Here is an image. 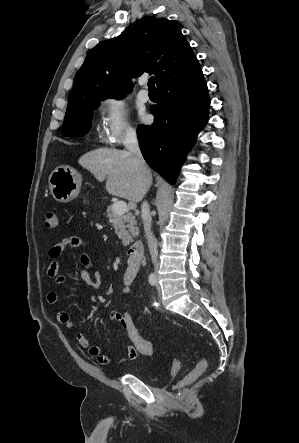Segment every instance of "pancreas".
<instances>
[{
  "label": "pancreas",
  "instance_id": "1",
  "mask_svg": "<svg viewBox=\"0 0 299 443\" xmlns=\"http://www.w3.org/2000/svg\"><path fill=\"white\" fill-rule=\"evenodd\" d=\"M107 217L113 225L115 233L122 240V244L127 246L139 235L135 217L131 213L118 215L113 211V205L108 206Z\"/></svg>",
  "mask_w": 299,
  "mask_h": 443
}]
</instances>
